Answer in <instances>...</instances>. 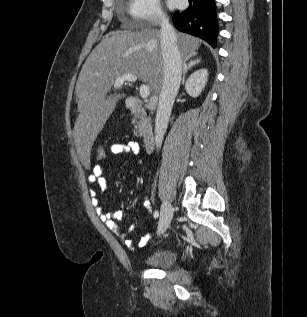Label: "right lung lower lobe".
<instances>
[{
  "label": "right lung lower lobe",
  "mask_w": 307,
  "mask_h": 317,
  "mask_svg": "<svg viewBox=\"0 0 307 317\" xmlns=\"http://www.w3.org/2000/svg\"><path fill=\"white\" fill-rule=\"evenodd\" d=\"M189 7L176 12L174 26L185 33L200 37L216 47L218 34L215 0H189Z\"/></svg>",
  "instance_id": "obj_1"
}]
</instances>
